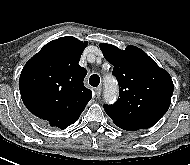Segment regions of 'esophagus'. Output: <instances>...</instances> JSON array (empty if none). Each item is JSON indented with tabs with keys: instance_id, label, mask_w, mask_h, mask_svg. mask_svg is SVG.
<instances>
[{
	"instance_id": "esophagus-1",
	"label": "esophagus",
	"mask_w": 190,
	"mask_h": 165,
	"mask_svg": "<svg viewBox=\"0 0 190 165\" xmlns=\"http://www.w3.org/2000/svg\"><path fill=\"white\" fill-rule=\"evenodd\" d=\"M101 92H102L101 87H97V88L94 89V93H95L96 97H100Z\"/></svg>"
}]
</instances>
